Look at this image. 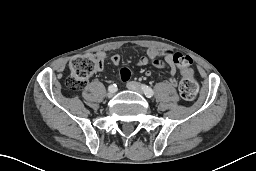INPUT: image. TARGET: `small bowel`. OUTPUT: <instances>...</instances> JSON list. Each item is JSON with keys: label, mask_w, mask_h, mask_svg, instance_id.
I'll list each match as a JSON object with an SVG mask.
<instances>
[{"label": "small bowel", "mask_w": 256, "mask_h": 171, "mask_svg": "<svg viewBox=\"0 0 256 171\" xmlns=\"http://www.w3.org/2000/svg\"><path fill=\"white\" fill-rule=\"evenodd\" d=\"M96 55L102 60V62L109 57V55L103 51L98 52ZM177 55H180V53L168 48H147L145 50V55H143L139 59L138 65L146 66L151 63L158 68H167L168 75H169V82L172 85H175ZM161 58H164V61L161 60ZM110 60L112 61L113 64L118 65L120 63L121 58L118 54H113L110 56ZM147 74H149V72Z\"/></svg>", "instance_id": "1"}]
</instances>
